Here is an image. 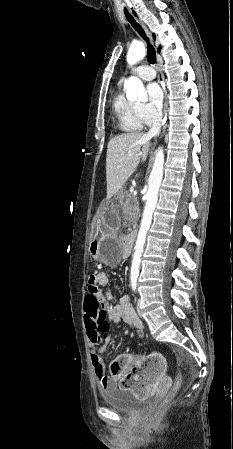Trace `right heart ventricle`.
Instances as JSON below:
<instances>
[{
    "label": "right heart ventricle",
    "instance_id": "1",
    "mask_svg": "<svg viewBox=\"0 0 233 449\" xmlns=\"http://www.w3.org/2000/svg\"><path fill=\"white\" fill-rule=\"evenodd\" d=\"M137 106L120 91L114 97L112 108L121 131L139 132L142 130L144 123L138 115Z\"/></svg>",
    "mask_w": 233,
    "mask_h": 449
}]
</instances>
